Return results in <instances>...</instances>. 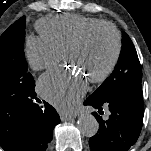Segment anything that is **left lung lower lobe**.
<instances>
[{
    "label": "left lung lower lobe",
    "mask_w": 151,
    "mask_h": 151,
    "mask_svg": "<svg viewBox=\"0 0 151 151\" xmlns=\"http://www.w3.org/2000/svg\"><path fill=\"white\" fill-rule=\"evenodd\" d=\"M142 98L141 82H132L105 104L90 97L85 100L84 105L94 107L99 114L103 105L111 112L106 121L92 113L99 122V132L89 140L92 151H127L137 141L143 124Z\"/></svg>",
    "instance_id": "1"
}]
</instances>
